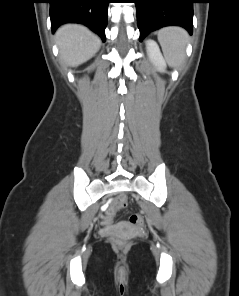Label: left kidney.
<instances>
[{"mask_svg": "<svg viewBox=\"0 0 239 296\" xmlns=\"http://www.w3.org/2000/svg\"><path fill=\"white\" fill-rule=\"evenodd\" d=\"M146 48L150 60L155 64L159 71L163 72L166 68V62L157 43L154 40H149L147 41Z\"/></svg>", "mask_w": 239, "mask_h": 296, "instance_id": "left-kidney-1", "label": "left kidney"}]
</instances>
